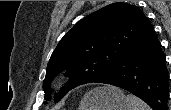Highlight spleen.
<instances>
[{
    "label": "spleen",
    "mask_w": 171,
    "mask_h": 110,
    "mask_svg": "<svg viewBox=\"0 0 171 110\" xmlns=\"http://www.w3.org/2000/svg\"><path fill=\"white\" fill-rule=\"evenodd\" d=\"M126 98L131 105V110H151L144 101L132 94H128Z\"/></svg>",
    "instance_id": "obj_1"
}]
</instances>
